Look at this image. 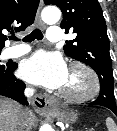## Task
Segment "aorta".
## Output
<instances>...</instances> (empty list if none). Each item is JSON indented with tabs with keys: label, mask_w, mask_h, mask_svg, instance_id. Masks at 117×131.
Returning <instances> with one entry per match:
<instances>
[{
	"label": "aorta",
	"mask_w": 117,
	"mask_h": 131,
	"mask_svg": "<svg viewBox=\"0 0 117 131\" xmlns=\"http://www.w3.org/2000/svg\"><path fill=\"white\" fill-rule=\"evenodd\" d=\"M41 17L46 23H56L60 20L61 11L57 7H46L41 13ZM40 131H52V128L48 124L41 126Z\"/></svg>",
	"instance_id": "762f6f07"
}]
</instances>
